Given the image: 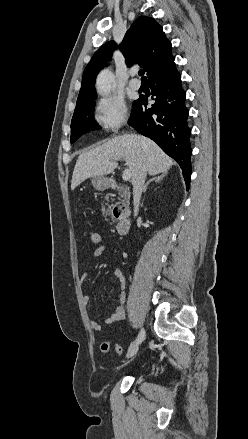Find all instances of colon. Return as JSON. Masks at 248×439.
<instances>
[{"mask_svg":"<svg viewBox=\"0 0 248 439\" xmlns=\"http://www.w3.org/2000/svg\"><path fill=\"white\" fill-rule=\"evenodd\" d=\"M89 240L92 244L100 246L102 243V235L99 231L93 230L89 233ZM114 349L117 354L121 355L123 353V348L118 345L114 344L112 345L110 342H103L100 346V350L102 353H107L111 349Z\"/></svg>","mask_w":248,"mask_h":439,"instance_id":"5ec220e1","label":"colon"}]
</instances>
